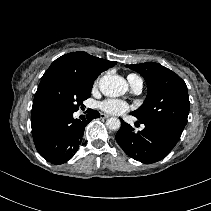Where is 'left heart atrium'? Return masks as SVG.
<instances>
[{"label":"left heart atrium","instance_id":"obj_1","mask_svg":"<svg viewBox=\"0 0 211 211\" xmlns=\"http://www.w3.org/2000/svg\"><path fill=\"white\" fill-rule=\"evenodd\" d=\"M100 108L110 114H123L129 109V105L122 101L116 99H108L100 103Z\"/></svg>","mask_w":211,"mask_h":211}]
</instances>
